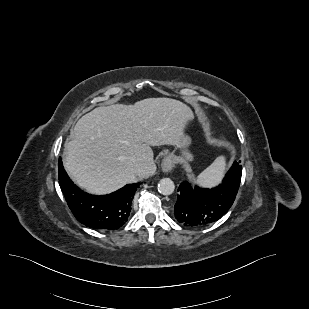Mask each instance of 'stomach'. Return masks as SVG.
Returning <instances> with one entry per match:
<instances>
[{
    "mask_svg": "<svg viewBox=\"0 0 309 309\" xmlns=\"http://www.w3.org/2000/svg\"><path fill=\"white\" fill-rule=\"evenodd\" d=\"M191 143V139L187 135H183V137L180 140V145L177 146L181 149V152L179 154L171 153L170 157L177 162H186V161H192L193 155L190 153L188 147Z\"/></svg>",
    "mask_w": 309,
    "mask_h": 309,
    "instance_id": "0dacf381",
    "label": "stomach"
}]
</instances>
